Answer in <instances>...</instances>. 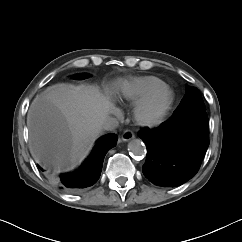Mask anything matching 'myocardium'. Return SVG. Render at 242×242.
Segmentation results:
<instances>
[{
  "mask_svg": "<svg viewBox=\"0 0 242 242\" xmlns=\"http://www.w3.org/2000/svg\"><path fill=\"white\" fill-rule=\"evenodd\" d=\"M174 100L175 93L172 89L167 86L161 88L135 105L134 120L143 127H156L164 121Z\"/></svg>",
  "mask_w": 242,
  "mask_h": 242,
  "instance_id": "obj_1",
  "label": "myocardium"
}]
</instances>
